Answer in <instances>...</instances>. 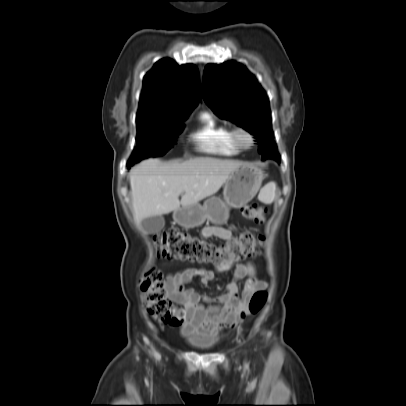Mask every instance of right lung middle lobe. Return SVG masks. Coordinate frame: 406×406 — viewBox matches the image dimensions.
Returning a JSON list of instances; mask_svg holds the SVG:
<instances>
[{"label": "right lung middle lobe", "mask_w": 406, "mask_h": 406, "mask_svg": "<svg viewBox=\"0 0 406 406\" xmlns=\"http://www.w3.org/2000/svg\"><path fill=\"white\" fill-rule=\"evenodd\" d=\"M182 120L137 117V146L128 162L132 164L148 157L164 155L181 133Z\"/></svg>", "instance_id": "dd1d6c3e"}]
</instances>
